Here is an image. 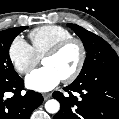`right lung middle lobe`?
I'll use <instances>...</instances> for the list:
<instances>
[{"label": "right lung middle lobe", "mask_w": 119, "mask_h": 119, "mask_svg": "<svg viewBox=\"0 0 119 119\" xmlns=\"http://www.w3.org/2000/svg\"><path fill=\"white\" fill-rule=\"evenodd\" d=\"M26 28L27 26H23L0 31V77L17 75L9 57V48L14 38Z\"/></svg>", "instance_id": "obj_1"}]
</instances>
